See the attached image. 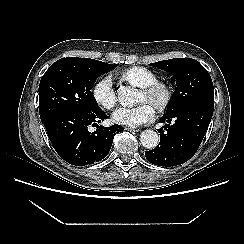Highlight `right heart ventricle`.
Returning a JSON list of instances; mask_svg holds the SVG:
<instances>
[{
    "instance_id": "e07e8e85",
    "label": "right heart ventricle",
    "mask_w": 244,
    "mask_h": 244,
    "mask_svg": "<svg viewBox=\"0 0 244 244\" xmlns=\"http://www.w3.org/2000/svg\"><path fill=\"white\" fill-rule=\"evenodd\" d=\"M119 78L133 86L144 88L157 81V75L144 67H131L119 73Z\"/></svg>"
}]
</instances>
